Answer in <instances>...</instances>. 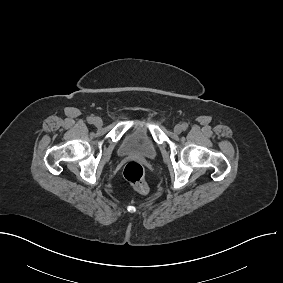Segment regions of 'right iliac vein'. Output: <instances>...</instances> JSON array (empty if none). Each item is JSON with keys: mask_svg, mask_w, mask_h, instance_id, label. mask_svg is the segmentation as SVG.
<instances>
[{"mask_svg": "<svg viewBox=\"0 0 283 283\" xmlns=\"http://www.w3.org/2000/svg\"><path fill=\"white\" fill-rule=\"evenodd\" d=\"M93 124L96 127H101L103 125V121H102V119L100 117H95L94 121H93Z\"/></svg>", "mask_w": 283, "mask_h": 283, "instance_id": "right-iliac-vein-1", "label": "right iliac vein"}]
</instances>
